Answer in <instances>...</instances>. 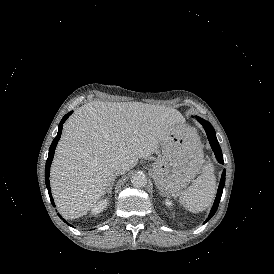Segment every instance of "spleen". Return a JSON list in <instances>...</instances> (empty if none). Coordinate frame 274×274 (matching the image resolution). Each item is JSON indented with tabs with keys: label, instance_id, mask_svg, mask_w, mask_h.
Wrapping results in <instances>:
<instances>
[{
	"label": "spleen",
	"instance_id": "3e777b00",
	"mask_svg": "<svg viewBox=\"0 0 274 274\" xmlns=\"http://www.w3.org/2000/svg\"><path fill=\"white\" fill-rule=\"evenodd\" d=\"M191 147L197 156V162L202 167L204 163L202 148L199 138L194 134ZM204 172L180 194V202L192 212L206 209L213 202L216 193V181L213 175V167L209 161L203 166Z\"/></svg>",
	"mask_w": 274,
	"mask_h": 274
}]
</instances>
